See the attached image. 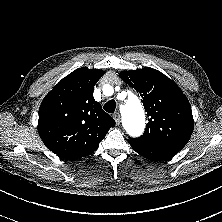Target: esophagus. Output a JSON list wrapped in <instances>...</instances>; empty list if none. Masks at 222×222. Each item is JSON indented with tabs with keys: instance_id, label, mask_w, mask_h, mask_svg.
Returning <instances> with one entry per match:
<instances>
[{
	"instance_id": "obj_1",
	"label": "esophagus",
	"mask_w": 222,
	"mask_h": 222,
	"mask_svg": "<svg viewBox=\"0 0 222 222\" xmlns=\"http://www.w3.org/2000/svg\"><path fill=\"white\" fill-rule=\"evenodd\" d=\"M113 118H114L116 124L119 125V124H120V119H121L120 113H118V112L115 113V114L113 115Z\"/></svg>"
}]
</instances>
